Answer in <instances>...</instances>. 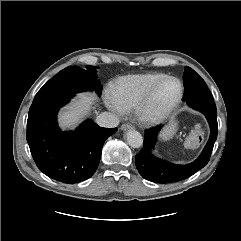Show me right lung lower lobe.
I'll return each instance as SVG.
<instances>
[{
  "mask_svg": "<svg viewBox=\"0 0 241 241\" xmlns=\"http://www.w3.org/2000/svg\"><path fill=\"white\" fill-rule=\"evenodd\" d=\"M73 96L32 103L27 120V142L37 167L48 177L68 184L95 173L105 140L117 131L87 120L75 131L61 132L57 112Z\"/></svg>",
  "mask_w": 241,
  "mask_h": 241,
  "instance_id": "1",
  "label": "right lung lower lobe"
}]
</instances>
